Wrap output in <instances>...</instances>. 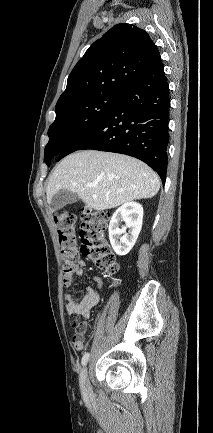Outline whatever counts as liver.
Segmentation results:
<instances>
[{
  "instance_id": "liver-1",
  "label": "liver",
  "mask_w": 213,
  "mask_h": 433,
  "mask_svg": "<svg viewBox=\"0 0 213 433\" xmlns=\"http://www.w3.org/2000/svg\"><path fill=\"white\" fill-rule=\"evenodd\" d=\"M88 183H97L89 187ZM75 192L90 210H106L133 200L152 198L158 175L142 161L118 153L84 150L64 158L47 186V202L58 191Z\"/></svg>"
}]
</instances>
